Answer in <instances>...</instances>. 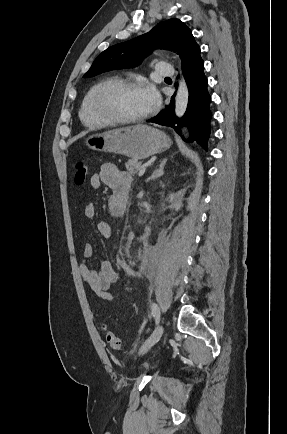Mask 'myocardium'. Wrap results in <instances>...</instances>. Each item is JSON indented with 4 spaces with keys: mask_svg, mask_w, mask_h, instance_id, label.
Wrapping results in <instances>:
<instances>
[{
    "mask_svg": "<svg viewBox=\"0 0 287 434\" xmlns=\"http://www.w3.org/2000/svg\"><path fill=\"white\" fill-rule=\"evenodd\" d=\"M140 81L131 80V79H122L115 78L110 79L104 82L96 91L93 97V109L95 114L105 120L108 124H119V125H128V124H136L147 119L151 112L147 111L145 114L133 117V118H123L117 116L109 107L108 104V96L120 89L126 88H136L140 86Z\"/></svg>",
    "mask_w": 287,
    "mask_h": 434,
    "instance_id": "f54148a6",
    "label": "myocardium"
}]
</instances>
